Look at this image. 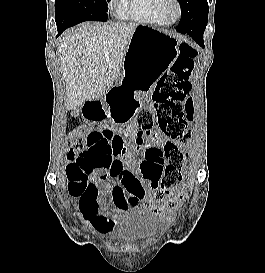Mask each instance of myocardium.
Listing matches in <instances>:
<instances>
[{
  "instance_id": "f54148a6",
  "label": "myocardium",
  "mask_w": 265,
  "mask_h": 273,
  "mask_svg": "<svg viewBox=\"0 0 265 273\" xmlns=\"http://www.w3.org/2000/svg\"><path fill=\"white\" fill-rule=\"evenodd\" d=\"M175 8L174 14H171L170 8ZM162 13L170 22H175L182 17L183 6L179 0H163Z\"/></svg>"
}]
</instances>
